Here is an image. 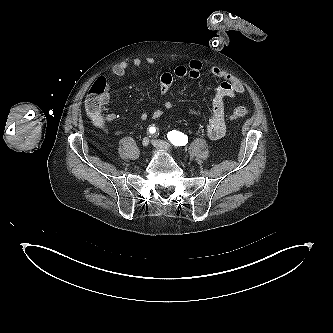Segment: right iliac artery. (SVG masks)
I'll return each instance as SVG.
<instances>
[{
  "instance_id": "82829eb1",
  "label": "right iliac artery",
  "mask_w": 333,
  "mask_h": 333,
  "mask_svg": "<svg viewBox=\"0 0 333 333\" xmlns=\"http://www.w3.org/2000/svg\"><path fill=\"white\" fill-rule=\"evenodd\" d=\"M149 133H150V134H155V133H156V127L151 126V127L149 128Z\"/></svg>"
}]
</instances>
